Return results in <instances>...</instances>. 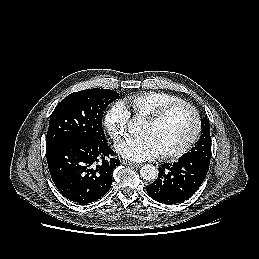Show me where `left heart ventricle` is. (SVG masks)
<instances>
[{
    "mask_svg": "<svg viewBox=\"0 0 259 259\" xmlns=\"http://www.w3.org/2000/svg\"><path fill=\"white\" fill-rule=\"evenodd\" d=\"M194 126L192 112L180 107L157 124L144 121L140 133L148 135L153 140L160 154L181 147L191 136Z\"/></svg>",
    "mask_w": 259,
    "mask_h": 259,
    "instance_id": "left-heart-ventricle-1",
    "label": "left heart ventricle"
}]
</instances>
